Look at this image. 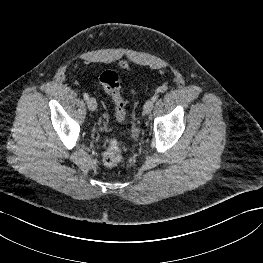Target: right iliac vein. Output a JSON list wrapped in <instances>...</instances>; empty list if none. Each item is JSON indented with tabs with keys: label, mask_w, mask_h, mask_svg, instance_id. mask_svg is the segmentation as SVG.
I'll list each match as a JSON object with an SVG mask.
<instances>
[{
	"label": "right iliac vein",
	"mask_w": 263,
	"mask_h": 263,
	"mask_svg": "<svg viewBox=\"0 0 263 263\" xmlns=\"http://www.w3.org/2000/svg\"><path fill=\"white\" fill-rule=\"evenodd\" d=\"M87 106H88L90 111L96 110V108H97V101H96V99L95 98L88 99Z\"/></svg>",
	"instance_id": "63e3f726"
}]
</instances>
